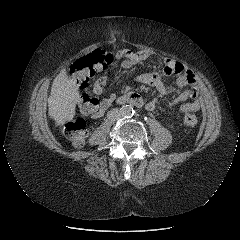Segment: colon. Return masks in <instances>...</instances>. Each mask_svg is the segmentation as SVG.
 Segmentation results:
<instances>
[{
    "instance_id": "1",
    "label": "colon",
    "mask_w": 240,
    "mask_h": 240,
    "mask_svg": "<svg viewBox=\"0 0 240 240\" xmlns=\"http://www.w3.org/2000/svg\"><path fill=\"white\" fill-rule=\"evenodd\" d=\"M112 61L113 56L107 51L94 50L73 63L72 77L79 87L85 88L95 74L106 69ZM79 108L84 115H95L99 110V102L96 98L84 94L80 98ZM184 121L187 125L194 126L197 123V117L193 113L187 112ZM64 132L74 146L81 147L88 134L86 121L83 118H77L65 126Z\"/></svg>"
}]
</instances>
